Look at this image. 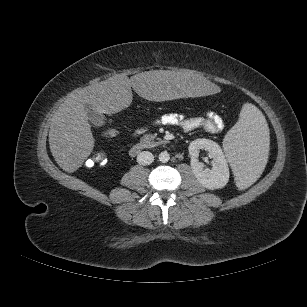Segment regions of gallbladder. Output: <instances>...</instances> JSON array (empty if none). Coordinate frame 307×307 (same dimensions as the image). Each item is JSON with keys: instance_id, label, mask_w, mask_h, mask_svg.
I'll return each instance as SVG.
<instances>
[{"instance_id": "obj_1", "label": "gallbladder", "mask_w": 307, "mask_h": 307, "mask_svg": "<svg viewBox=\"0 0 307 307\" xmlns=\"http://www.w3.org/2000/svg\"><path fill=\"white\" fill-rule=\"evenodd\" d=\"M87 118L90 122H92L95 126H102L105 123L104 115L98 113L97 111L87 108Z\"/></svg>"}]
</instances>
